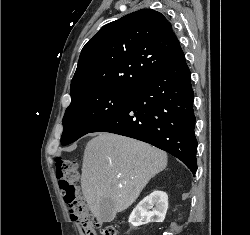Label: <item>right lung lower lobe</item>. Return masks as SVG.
<instances>
[{"label":"right lung lower lobe","mask_w":250,"mask_h":235,"mask_svg":"<svg viewBox=\"0 0 250 235\" xmlns=\"http://www.w3.org/2000/svg\"><path fill=\"white\" fill-rule=\"evenodd\" d=\"M193 98L191 72L179 44L168 65L142 82L115 114L91 132H110L152 144L195 174Z\"/></svg>","instance_id":"right-lung-lower-lobe-1"}]
</instances>
